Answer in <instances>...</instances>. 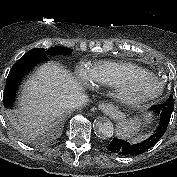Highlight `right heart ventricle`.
I'll use <instances>...</instances> for the list:
<instances>
[{"label":"right heart ventricle","instance_id":"right-heart-ventricle-1","mask_svg":"<svg viewBox=\"0 0 177 177\" xmlns=\"http://www.w3.org/2000/svg\"><path fill=\"white\" fill-rule=\"evenodd\" d=\"M99 83L116 88L121 79L128 74L150 73L145 68L128 62L105 61L95 67Z\"/></svg>","mask_w":177,"mask_h":177}]
</instances>
